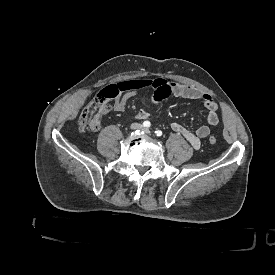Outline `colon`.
Masks as SVG:
<instances>
[{"mask_svg": "<svg viewBox=\"0 0 275 275\" xmlns=\"http://www.w3.org/2000/svg\"><path fill=\"white\" fill-rule=\"evenodd\" d=\"M105 105L97 101L95 103L90 104L81 114L79 119V126L81 129L87 128L92 122H96L101 115L105 113ZM209 143L214 145L217 142V138L215 136H210L208 139Z\"/></svg>", "mask_w": 275, "mask_h": 275, "instance_id": "5ec220e1", "label": "colon"}]
</instances>
